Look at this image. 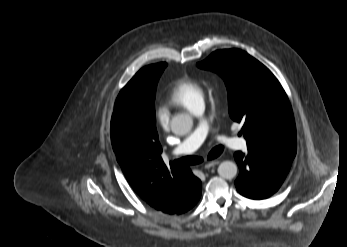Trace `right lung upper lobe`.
I'll use <instances>...</instances> for the list:
<instances>
[{"mask_svg":"<svg viewBox=\"0 0 347 247\" xmlns=\"http://www.w3.org/2000/svg\"><path fill=\"white\" fill-rule=\"evenodd\" d=\"M138 83L132 78L121 90L134 95ZM111 140L117 161L135 192L150 206L173 214L201 188L200 180L188 167L170 164L161 157L156 129L140 118H129L115 103L111 119Z\"/></svg>","mask_w":347,"mask_h":247,"instance_id":"obj_1","label":"right lung upper lobe"}]
</instances>
